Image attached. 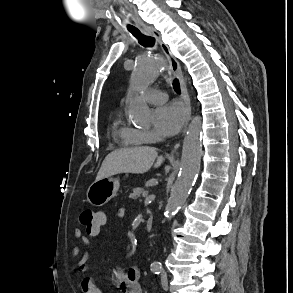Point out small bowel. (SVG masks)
I'll list each match as a JSON object with an SVG mask.
<instances>
[{
  "label": "small bowel",
  "instance_id": "1",
  "mask_svg": "<svg viewBox=\"0 0 293 293\" xmlns=\"http://www.w3.org/2000/svg\"><path fill=\"white\" fill-rule=\"evenodd\" d=\"M120 217L124 216V209H120L118 212ZM98 216L101 218V226L98 230L89 232L86 230V234L80 229L76 228L74 231L75 237L81 241L82 243L89 245L91 243V237H97L101 233V227H103L107 218L103 212H98ZM81 250L79 245L74 246L73 253L75 255L80 254ZM90 260V253L85 251L82 253L79 261L77 262V268L79 271H85L88 267ZM140 271L137 267H129V268H117L112 276V280L114 285L122 292V293H142V287L140 283ZM93 286L97 285L93 282L92 279L86 278L81 282V289L83 293H91V289ZM98 293H101L99 290Z\"/></svg>",
  "mask_w": 293,
  "mask_h": 293
}]
</instances>
